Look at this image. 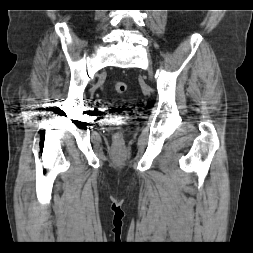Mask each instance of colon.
<instances>
[{
	"mask_svg": "<svg viewBox=\"0 0 253 253\" xmlns=\"http://www.w3.org/2000/svg\"><path fill=\"white\" fill-rule=\"evenodd\" d=\"M113 90L116 93H124L126 91V84H125V82H123V81H116L113 84ZM119 139H120V134H116L115 135V140L118 141Z\"/></svg>",
	"mask_w": 253,
	"mask_h": 253,
	"instance_id": "colon-1",
	"label": "colon"
}]
</instances>
